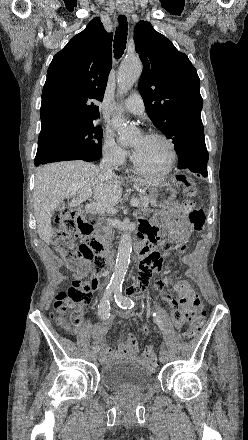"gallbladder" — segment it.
I'll return each mask as SVG.
<instances>
[{
	"label": "gallbladder",
	"instance_id": "bac80fb5",
	"mask_svg": "<svg viewBox=\"0 0 248 440\" xmlns=\"http://www.w3.org/2000/svg\"><path fill=\"white\" fill-rule=\"evenodd\" d=\"M64 206V204H59L58 206H57V209H60L61 207H63Z\"/></svg>",
	"mask_w": 248,
	"mask_h": 440
}]
</instances>
